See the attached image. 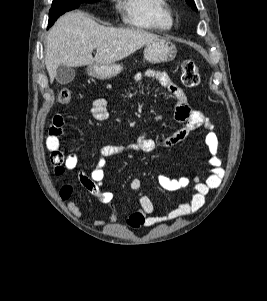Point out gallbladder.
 Here are the masks:
<instances>
[{"label": "gallbladder", "mask_w": 267, "mask_h": 301, "mask_svg": "<svg viewBox=\"0 0 267 301\" xmlns=\"http://www.w3.org/2000/svg\"><path fill=\"white\" fill-rule=\"evenodd\" d=\"M75 77V70L73 67L67 65H60L56 70V81L61 85L70 83Z\"/></svg>", "instance_id": "obj_1"}]
</instances>
